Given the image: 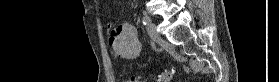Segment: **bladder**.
<instances>
[{"label":"bladder","instance_id":"bladder-1","mask_svg":"<svg viewBox=\"0 0 279 82\" xmlns=\"http://www.w3.org/2000/svg\"><path fill=\"white\" fill-rule=\"evenodd\" d=\"M127 82H145V81H127Z\"/></svg>","mask_w":279,"mask_h":82}]
</instances>
